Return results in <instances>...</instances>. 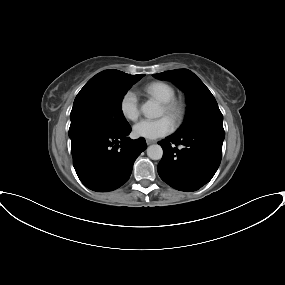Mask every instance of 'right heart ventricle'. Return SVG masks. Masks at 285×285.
<instances>
[{"label": "right heart ventricle", "instance_id": "e07e8e85", "mask_svg": "<svg viewBox=\"0 0 285 285\" xmlns=\"http://www.w3.org/2000/svg\"><path fill=\"white\" fill-rule=\"evenodd\" d=\"M143 91L156 98L161 103L167 102L175 97V88L165 81H153L143 87Z\"/></svg>", "mask_w": 285, "mask_h": 285}]
</instances>
